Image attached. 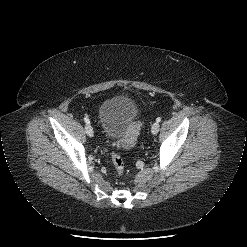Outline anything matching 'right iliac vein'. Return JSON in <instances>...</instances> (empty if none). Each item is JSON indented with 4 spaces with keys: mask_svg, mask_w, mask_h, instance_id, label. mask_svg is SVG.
Returning a JSON list of instances; mask_svg holds the SVG:
<instances>
[{
    "mask_svg": "<svg viewBox=\"0 0 247 247\" xmlns=\"http://www.w3.org/2000/svg\"><path fill=\"white\" fill-rule=\"evenodd\" d=\"M85 131H86V133H87V135H88L89 137H93V136H94V131H93V128L91 127L90 124H87V125L85 126Z\"/></svg>",
    "mask_w": 247,
    "mask_h": 247,
    "instance_id": "obj_1",
    "label": "right iliac vein"
}]
</instances>
